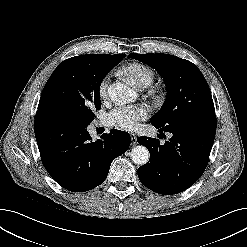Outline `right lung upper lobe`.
Returning <instances> with one entry per match:
<instances>
[{"instance_id": "1", "label": "right lung upper lobe", "mask_w": 247, "mask_h": 247, "mask_svg": "<svg viewBox=\"0 0 247 247\" xmlns=\"http://www.w3.org/2000/svg\"><path fill=\"white\" fill-rule=\"evenodd\" d=\"M85 56L93 60L101 61L103 64L113 67L114 65L119 63L126 56V54H115V55L94 54V55H85Z\"/></svg>"}]
</instances>
